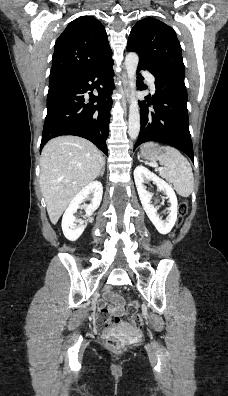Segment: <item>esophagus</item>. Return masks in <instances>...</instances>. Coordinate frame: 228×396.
Here are the masks:
<instances>
[{"instance_id": "obj_1", "label": "esophagus", "mask_w": 228, "mask_h": 396, "mask_svg": "<svg viewBox=\"0 0 228 396\" xmlns=\"http://www.w3.org/2000/svg\"><path fill=\"white\" fill-rule=\"evenodd\" d=\"M123 82H124L123 95H124L125 100L128 102L129 97H130V91H129V87H128V77H127L126 73L123 74Z\"/></svg>"}]
</instances>
